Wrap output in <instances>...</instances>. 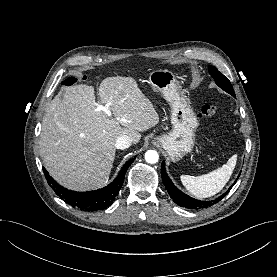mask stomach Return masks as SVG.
Listing matches in <instances>:
<instances>
[{"instance_id": "0dacf381", "label": "stomach", "mask_w": 277, "mask_h": 277, "mask_svg": "<svg viewBox=\"0 0 277 277\" xmlns=\"http://www.w3.org/2000/svg\"><path fill=\"white\" fill-rule=\"evenodd\" d=\"M147 82L154 91L163 96L171 108L173 128L168 134L156 136L154 142L166 151L173 162L179 161L194 147L198 119L181 91L174 73L156 70L150 73Z\"/></svg>"}]
</instances>
